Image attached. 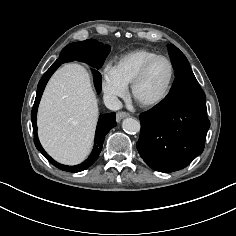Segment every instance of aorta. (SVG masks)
<instances>
[{
  "mask_svg": "<svg viewBox=\"0 0 236 236\" xmlns=\"http://www.w3.org/2000/svg\"><path fill=\"white\" fill-rule=\"evenodd\" d=\"M122 128L127 133H138L140 131V122L134 118H126L122 122Z\"/></svg>",
  "mask_w": 236,
  "mask_h": 236,
  "instance_id": "762f6f07",
  "label": "aorta"
}]
</instances>
